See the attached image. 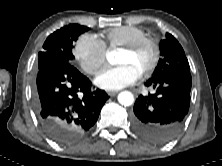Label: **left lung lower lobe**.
<instances>
[{"instance_id": "0a47b994", "label": "left lung lower lobe", "mask_w": 222, "mask_h": 166, "mask_svg": "<svg viewBox=\"0 0 222 166\" xmlns=\"http://www.w3.org/2000/svg\"><path fill=\"white\" fill-rule=\"evenodd\" d=\"M145 85L155 88L156 92L137 98L131 118L133 129L151 143H168L179 134L188 113L191 73L150 78Z\"/></svg>"}]
</instances>
